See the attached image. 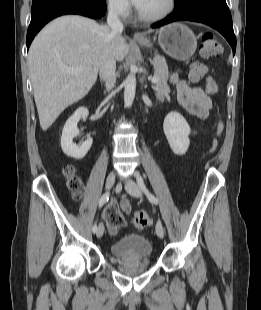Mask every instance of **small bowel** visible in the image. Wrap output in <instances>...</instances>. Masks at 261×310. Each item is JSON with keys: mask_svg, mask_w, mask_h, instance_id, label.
Segmentation results:
<instances>
[{"mask_svg": "<svg viewBox=\"0 0 261 310\" xmlns=\"http://www.w3.org/2000/svg\"><path fill=\"white\" fill-rule=\"evenodd\" d=\"M171 81L176 85L177 98L180 105L188 113L199 119L207 118L212 106V102L205 91L200 87H192L188 85L185 81L180 80L175 74L171 76ZM157 92L159 98H164L167 93V87L165 85H160ZM215 144L216 143L213 142L212 148L215 147ZM119 203L122 212L125 214L131 213L132 207L127 199H122Z\"/></svg>", "mask_w": 261, "mask_h": 310, "instance_id": "obj_1", "label": "small bowel"}]
</instances>
